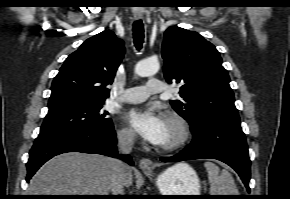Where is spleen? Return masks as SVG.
<instances>
[{
	"label": "spleen",
	"instance_id": "spleen-1",
	"mask_svg": "<svg viewBox=\"0 0 290 199\" xmlns=\"http://www.w3.org/2000/svg\"><path fill=\"white\" fill-rule=\"evenodd\" d=\"M204 167L208 173L210 195H238L234 180L227 170L220 173L219 167L210 161L205 162Z\"/></svg>",
	"mask_w": 290,
	"mask_h": 199
}]
</instances>
